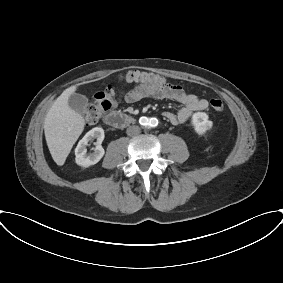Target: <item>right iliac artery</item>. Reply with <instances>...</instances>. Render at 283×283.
<instances>
[{
    "label": "right iliac artery",
    "mask_w": 283,
    "mask_h": 283,
    "mask_svg": "<svg viewBox=\"0 0 283 283\" xmlns=\"http://www.w3.org/2000/svg\"><path fill=\"white\" fill-rule=\"evenodd\" d=\"M142 119H143V122H144L145 124H147L148 119H147L146 117H143Z\"/></svg>",
    "instance_id": "1"
}]
</instances>
